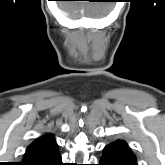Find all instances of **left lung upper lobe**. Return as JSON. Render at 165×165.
I'll return each instance as SVG.
<instances>
[{"instance_id":"1","label":"left lung upper lobe","mask_w":165,"mask_h":165,"mask_svg":"<svg viewBox=\"0 0 165 165\" xmlns=\"http://www.w3.org/2000/svg\"><path fill=\"white\" fill-rule=\"evenodd\" d=\"M106 147L120 149L125 153L126 157L136 160L135 155L131 152L130 148L124 141L118 140L114 143L107 145Z\"/></svg>"}]
</instances>
